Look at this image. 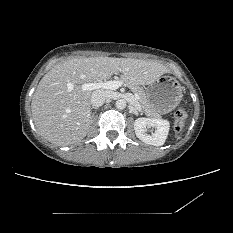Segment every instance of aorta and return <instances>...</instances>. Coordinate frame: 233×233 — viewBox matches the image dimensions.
<instances>
[{
  "label": "aorta",
  "instance_id": "aorta-1",
  "mask_svg": "<svg viewBox=\"0 0 233 233\" xmlns=\"http://www.w3.org/2000/svg\"><path fill=\"white\" fill-rule=\"evenodd\" d=\"M115 106H116L117 109L122 110V109H125V108H126L127 102H126L125 99H118V100L116 101V103H115Z\"/></svg>",
  "mask_w": 233,
  "mask_h": 233
}]
</instances>
